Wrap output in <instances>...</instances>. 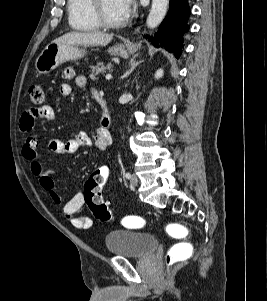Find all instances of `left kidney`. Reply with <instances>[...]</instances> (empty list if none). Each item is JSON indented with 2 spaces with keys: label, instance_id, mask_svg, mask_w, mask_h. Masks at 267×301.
Returning <instances> with one entry per match:
<instances>
[{
  "label": "left kidney",
  "instance_id": "obj_1",
  "mask_svg": "<svg viewBox=\"0 0 267 301\" xmlns=\"http://www.w3.org/2000/svg\"><path fill=\"white\" fill-rule=\"evenodd\" d=\"M163 76V70L162 69H159L157 70L156 74H155V78L156 79H159Z\"/></svg>",
  "mask_w": 267,
  "mask_h": 301
}]
</instances>
